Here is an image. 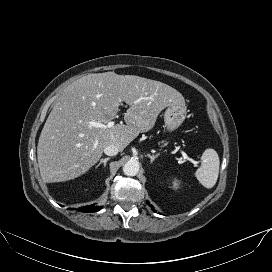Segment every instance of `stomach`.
Here are the masks:
<instances>
[{
    "label": "stomach",
    "instance_id": "1",
    "mask_svg": "<svg viewBox=\"0 0 272 272\" xmlns=\"http://www.w3.org/2000/svg\"><path fill=\"white\" fill-rule=\"evenodd\" d=\"M186 118L185 105L174 104L168 106L164 112L165 128L172 132L176 130Z\"/></svg>",
    "mask_w": 272,
    "mask_h": 272
}]
</instances>
